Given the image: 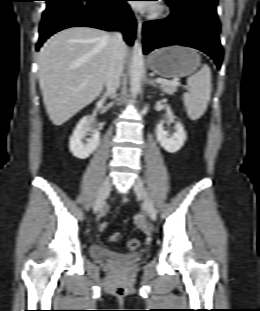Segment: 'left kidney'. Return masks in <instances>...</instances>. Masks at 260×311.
<instances>
[{
	"mask_svg": "<svg viewBox=\"0 0 260 311\" xmlns=\"http://www.w3.org/2000/svg\"><path fill=\"white\" fill-rule=\"evenodd\" d=\"M157 140L160 145L169 153H175L184 145L186 140V132L180 122L175 125V132L172 136L164 130L160 122L156 127Z\"/></svg>",
	"mask_w": 260,
	"mask_h": 311,
	"instance_id": "left-kidney-1",
	"label": "left kidney"
}]
</instances>
